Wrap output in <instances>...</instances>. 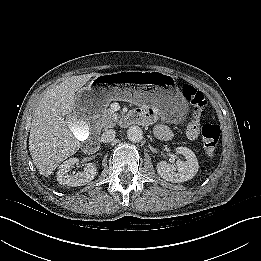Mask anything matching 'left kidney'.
Segmentation results:
<instances>
[{
    "label": "left kidney",
    "instance_id": "5707ae66",
    "mask_svg": "<svg viewBox=\"0 0 261 261\" xmlns=\"http://www.w3.org/2000/svg\"><path fill=\"white\" fill-rule=\"evenodd\" d=\"M177 154L184 156L185 161L178 160L175 165L166 161L157 164V173L166 181L172 183H181L192 179L198 172V160L195 153L187 147H177Z\"/></svg>",
    "mask_w": 261,
    "mask_h": 261
}]
</instances>
